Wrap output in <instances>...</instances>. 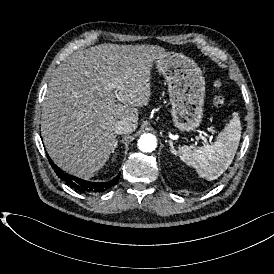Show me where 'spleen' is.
Wrapping results in <instances>:
<instances>
[{"instance_id":"1","label":"spleen","mask_w":274,"mask_h":274,"mask_svg":"<svg viewBox=\"0 0 274 274\" xmlns=\"http://www.w3.org/2000/svg\"><path fill=\"white\" fill-rule=\"evenodd\" d=\"M241 136L238 114H234L223 131L219 132L214 142L197 147L194 150L187 146L179 148V158L193 167L199 178L214 180L231 164Z\"/></svg>"}]
</instances>
